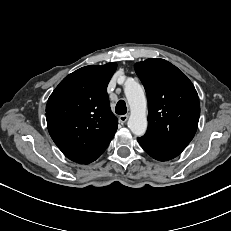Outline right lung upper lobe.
I'll list each match as a JSON object with an SVG mask.
<instances>
[{
    "label": "right lung upper lobe",
    "mask_w": 231,
    "mask_h": 231,
    "mask_svg": "<svg viewBox=\"0 0 231 231\" xmlns=\"http://www.w3.org/2000/svg\"><path fill=\"white\" fill-rule=\"evenodd\" d=\"M116 63L85 66L66 76L46 105L48 131L70 160L89 164L108 147L118 120L111 112L107 85Z\"/></svg>",
    "instance_id": "cb5924a9"
}]
</instances>
